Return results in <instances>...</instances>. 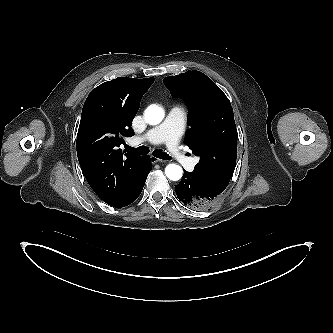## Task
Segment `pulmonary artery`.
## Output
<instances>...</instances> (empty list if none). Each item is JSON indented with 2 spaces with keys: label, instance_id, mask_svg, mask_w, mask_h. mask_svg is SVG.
I'll return each mask as SVG.
<instances>
[{
  "label": "pulmonary artery",
  "instance_id": "e3ab8cb5",
  "mask_svg": "<svg viewBox=\"0 0 333 333\" xmlns=\"http://www.w3.org/2000/svg\"><path fill=\"white\" fill-rule=\"evenodd\" d=\"M187 113L181 106H174L168 112L165 120L158 126L150 129L146 134L134 139L133 143L150 142L152 144H166L171 155L188 171L196 165V159L185 156L178 144L186 125Z\"/></svg>",
  "mask_w": 333,
  "mask_h": 333
}]
</instances>
